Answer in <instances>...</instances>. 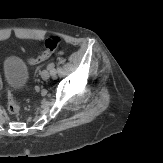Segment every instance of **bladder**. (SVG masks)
I'll list each match as a JSON object with an SVG mask.
<instances>
[{
  "label": "bladder",
  "instance_id": "bladder-1",
  "mask_svg": "<svg viewBox=\"0 0 163 163\" xmlns=\"http://www.w3.org/2000/svg\"><path fill=\"white\" fill-rule=\"evenodd\" d=\"M2 75L4 82L9 88L21 90L28 82L29 70L19 57L8 56L3 62Z\"/></svg>",
  "mask_w": 163,
  "mask_h": 163
}]
</instances>
